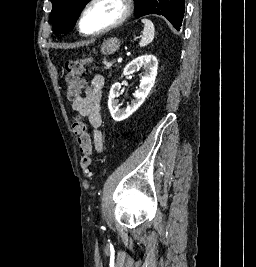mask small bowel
I'll use <instances>...</instances> for the list:
<instances>
[{
    "instance_id": "c3829d8e",
    "label": "small bowel",
    "mask_w": 256,
    "mask_h": 267,
    "mask_svg": "<svg viewBox=\"0 0 256 267\" xmlns=\"http://www.w3.org/2000/svg\"><path fill=\"white\" fill-rule=\"evenodd\" d=\"M104 82L103 75H93L88 83L84 81L83 93L72 102V109L77 117H86L92 127V138L89 137V150L92 152L94 148L98 153H101L104 148L100 114V99Z\"/></svg>"
}]
</instances>
